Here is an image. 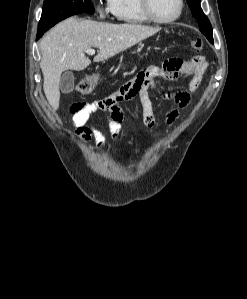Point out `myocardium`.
<instances>
[{
  "label": "myocardium",
  "mask_w": 247,
  "mask_h": 299,
  "mask_svg": "<svg viewBox=\"0 0 247 299\" xmlns=\"http://www.w3.org/2000/svg\"><path fill=\"white\" fill-rule=\"evenodd\" d=\"M141 3V8L145 16L152 22H155L157 24H170L172 22H175L178 20L182 14L183 7H184V2L183 0H178V11L177 13L169 18V19H160L155 16V14L152 11L151 8V0H140Z\"/></svg>",
  "instance_id": "myocardium-1"
}]
</instances>
